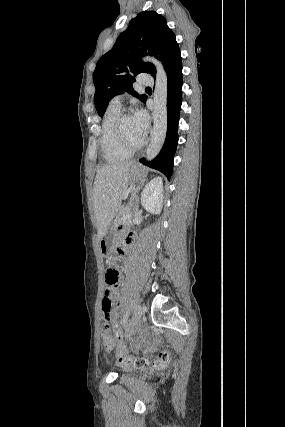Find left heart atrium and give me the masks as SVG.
I'll list each match as a JSON object with an SVG mask.
<instances>
[{
	"label": "left heart atrium",
	"mask_w": 285,
	"mask_h": 427,
	"mask_svg": "<svg viewBox=\"0 0 285 427\" xmlns=\"http://www.w3.org/2000/svg\"><path fill=\"white\" fill-rule=\"evenodd\" d=\"M138 131L141 137L144 139L148 131V116L147 113L143 110L137 111L133 116Z\"/></svg>",
	"instance_id": "1"
}]
</instances>
